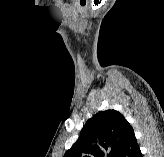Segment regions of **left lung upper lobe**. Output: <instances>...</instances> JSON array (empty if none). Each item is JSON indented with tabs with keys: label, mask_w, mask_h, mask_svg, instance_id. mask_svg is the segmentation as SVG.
<instances>
[{
	"label": "left lung upper lobe",
	"mask_w": 164,
	"mask_h": 157,
	"mask_svg": "<svg viewBox=\"0 0 164 157\" xmlns=\"http://www.w3.org/2000/svg\"><path fill=\"white\" fill-rule=\"evenodd\" d=\"M133 135V128L121 113L100 111L87 120L64 157H117Z\"/></svg>",
	"instance_id": "obj_1"
}]
</instances>
